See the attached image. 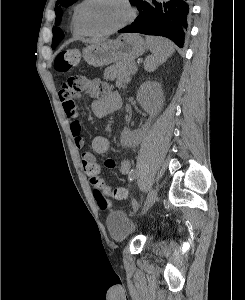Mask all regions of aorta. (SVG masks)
<instances>
[{
  "instance_id": "aorta-1",
  "label": "aorta",
  "mask_w": 245,
  "mask_h": 300,
  "mask_svg": "<svg viewBox=\"0 0 245 300\" xmlns=\"http://www.w3.org/2000/svg\"><path fill=\"white\" fill-rule=\"evenodd\" d=\"M159 2H163V1H166V0H158Z\"/></svg>"
}]
</instances>
